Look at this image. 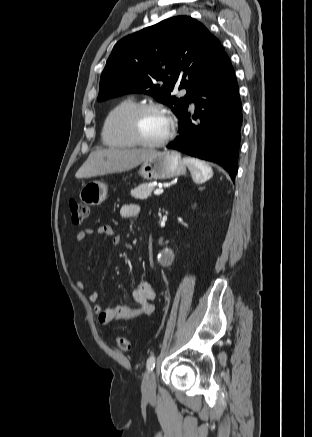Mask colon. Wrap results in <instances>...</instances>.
<instances>
[{
	"label": "colon",
	"mask_w": 312,
	"mask_h": 437,
	"mask_svg": "<svg viewBox=\"0 0 312 437\" xmlns=\"http://www.w3.org/2000/svg\"><path fill=\"white\" fill-rule=\"evenodd\" d=\"M69 209L71 213V221L73 224H81L88 215V206L72 199L69 201ZM118 347L123 352H128L132 349L131 342L125 337H119L117 340Z\"/></svg>",
	"instance_id": "1"
}]
</instances>
